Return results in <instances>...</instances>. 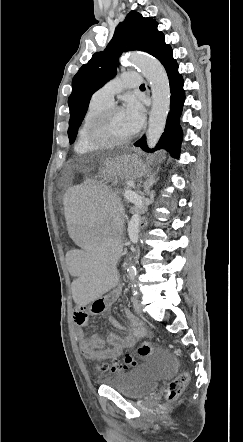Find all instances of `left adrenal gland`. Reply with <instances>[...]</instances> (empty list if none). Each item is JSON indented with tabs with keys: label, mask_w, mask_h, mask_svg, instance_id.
<instances>
[{
	"label": "left adrenal gland",
	"mask_w": 243,
	"mask_h": 442,
	"mask_svg": "<svg viewBox=\"0 0 243 442\" xmlns=\"http://www.w3.org/2000/svg\"><path fill=\"white\" fill-rule=\"evenodd\" d=\"M155 182H156L155 174L150 175V177L147 179L146 187L150 188Z\"/></svg>",
	"instance_id": "a2214340"
}]
</instances>
